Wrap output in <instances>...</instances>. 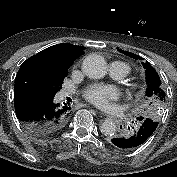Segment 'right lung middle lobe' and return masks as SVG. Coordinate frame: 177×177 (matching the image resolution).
Wrapping results in <instances>:
<instances>
[{
	"label": "right lung middle lobe",
	"instance_id": "1",
	"mask_svg": "<svg viewBox=\"0 0 177 177\" xmlns=\"http://www.w3.org/2000/svg\"><path fill=\"white\" fill-rule=\"evenodd\" d=\"M25 88L34 90L47 95H55L58 90L61 89V84L59 85H49L43 84L37 81H31L24 85Z\"/></svg>",
	"mask_w": 177,
	"mask_h": 177
}]
</instances>
